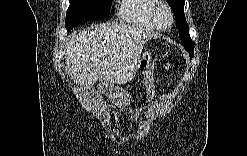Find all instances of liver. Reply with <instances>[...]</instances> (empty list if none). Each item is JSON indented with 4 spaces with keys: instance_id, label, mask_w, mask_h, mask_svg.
Segmentation results:
<instances>
[{
    "instance_id": "1",
    "label": "liver",
    "mask_w": 247,
    "mask_h": 156,
    "mask_svg": "<svg viewBox=\"0 0 247 156\" xmlns=\"http://www.w3.org/2000/svg\"><path fill=\"white\" fill-rule=\"evenodd\" d=\"M157 37L153 31L126 23L100 24L74 32L66 45L67 72L86 86L98 79L125 84L136 75L145 43Z\"/></svg>"
}]
</instances>
